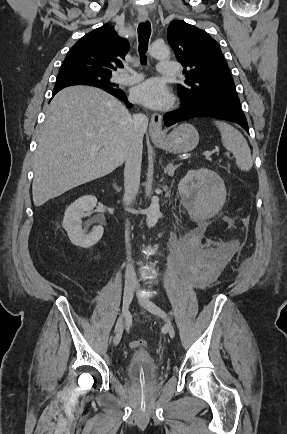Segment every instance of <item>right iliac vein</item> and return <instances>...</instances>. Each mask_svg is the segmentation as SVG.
<instances>
[{
    "label": "right iliac vein",
    "instance_id": "obj_1",
    "mask_svg": "<svg viewBox=\"0 0 287 434\" xmlns=\"http://www.w3.org/2000/svg\"><path fill=\"white\" fill-rule=\"evenodd\" d=\"M134 290H135V284L132 282H127L123 293L122 315L124 320L127 319L128 317L129 307L133 299ZM122 333H123V324H121L116 331V334L113 339L114 345L119 344L122 338Z\"/></svg>",
    "mask_w": 287,
    "mask_h": 434
}]
</instances>
